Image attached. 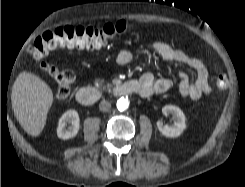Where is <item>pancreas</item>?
<instances>
[{
  "mask_svg": "<svg viewBox=\"0 0 245 187\" xmlns=\"http://www.w3.org/2000/svg\"><path fill=\"white\" fill-rule=\"evenodd\" d=\"M97 85L99 86V87H101L102 89H105V88H110L112 85L111 84H109V83H107L105 86L103 85V83H104V80H98L97 82Z\"/></svg>",
  "mask_w": 245,
  "mask_h": 187,
  "instance_id": "pancreas-1",
  "label": "pancreas"
}]
</instances>
